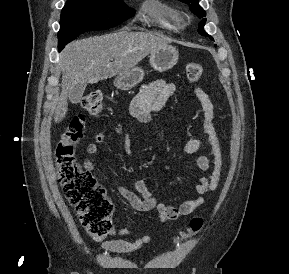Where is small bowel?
<instances>
[{"mask_svg":"<svg viewBox=\"0 0 289 274\" xmlns=\"http://www.w3.org/2000/svg\"><path fill=\"white\" fill-rule=\"evenodd\" d=\"M176 91V84L165 80L152 81L141 89L140 93L133 99L131 103L132 114L136 119V124H144L150 122L153 118L159 116H167L170 118L181 119L172 113L165 111L167 101ZM194 94L200 102L202 109V135L192 138L182 144L179 152L182 155L189 156L196 154V165L203 174L199 182L195 185L197 197L183 201L178 205L160 202L146 187L143 181H137L134 184V190H129L121 185L116 187L120 196L126 199L133 209L139 212L157 211V219L160 222L177 220L182 216L192 214L197 208L205 203V195L214 191L221 178L223 158L222 150L217 132L214 126L215 108L209 95L200 87L194 89ZM136 124L127 129V135H130ZM117 134L125 132L121 124L115 126ZM106 139V133L100 132L95 136V142L87 147L90 155L100 152V144ZM205 145L210 146V156L201 152ZM211 157V158H210ZM84 169L92 172L95 169V161L88 157L83 162ZM211 169V173H206ZM112 235L126 236L130 231L126 228L113 230ZM152 242L150 235H142L133 241L122 238H114L106 240L102 243L104 251L109 253H131L141 249L143 246Z\"/></svg>","mask_w":289,"mask_h":274,"instance_id":"obj_1","label":"small bowel"}]
</instances>
